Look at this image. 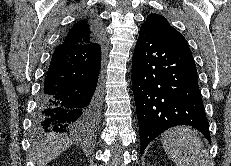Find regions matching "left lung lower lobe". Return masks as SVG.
Here are the masks:
<instances>
[{"label":"left lung lower lobe","mask_w":231,"mask_h":166,"mask_svg":"<svg viewBox=\"0 0 231 166\" xmlns=\"http://www.w3.org/2000/svg\"><path fill=\"white\" fill-rule=\"evenodd\" d=\"M141 153L166 129L190 125L210 133L189 47L164 42L140 29L132 59Z\"/></svg>","instance_id":"obj_1"}]
</instances>
